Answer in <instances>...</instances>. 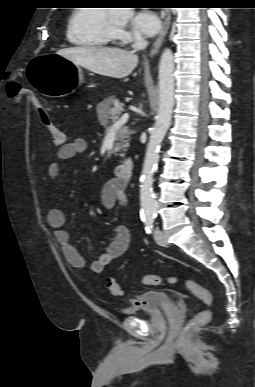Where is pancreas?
Listing matches in <instances>:
<instances>
[{
  "mask_svg": "<svg viewBox=\"0 0 255 387\" xmlns=\"http://www.w3.org/2000/svg\"><path fill=\"white\" fill-rule=\"evenodd\" d=\"M112 105V106H111ZM99 117L101 122L106 125L108 123V119H111L112 122L118 120L122 112L124 111V103L119 102L115 96L108 97L104 99L98 105ZM117 143L114 148L115 152H120L119 156H124V151L129 146L130 141V131L122 129L117 133Z\"/></svg>",
  "mask_w": 255,
  "mask_h": 387,
  "instance_id": "pancreas-1",
  "label": "pancreas"
}]
</instances>
